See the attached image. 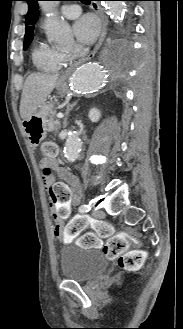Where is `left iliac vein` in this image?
<instances>
[{
  "instance_id": "1",
  "label": "left iliac vein",
  "mask_w": 183,
  "mask_h": 329,
  "mask_svg": "<svg viewBox=\"0 0 183 329\" xmlns=\"http://www.w3.org/2000/svg\"><path fill=\"white\" fill-rule=\"evenodd\" d=\"M91 214L95 218H103L105 216L104 212L100 209L93 210Z\"/></svg>"
}]
</instances>
